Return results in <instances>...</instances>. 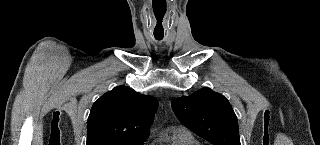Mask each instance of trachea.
Returning a JSON list of instances; mask_svg holds the SVG:
<instances>
[{
	"label": "trachea",
	"mask_w": 320,
	"mask_h": 145,
	"mask_svg": "<svg viewBox=\"0 0 320 145\" xmlns=\"http://www.w3.org/2000/svg\"><path fill=\"white\" fill-rule=\"evenodd\" d=\"M155 39H157V40H162L163 37H156V36H155Z\"/></svg>",
	"instance_id": "3493384b"
}]
</instances>
